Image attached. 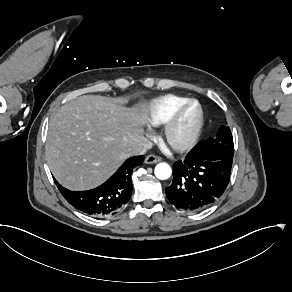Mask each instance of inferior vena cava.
Here are the masks:
<instances>
[{"mask_svg": "<svg viewBox=\"0 0 292 292\" xmlns=\"http://www.w3.org/2000/svg\"><path fill=\"white\" fill-rule=\"evenodd\" d=\"M151 148H152V142H150L148 139H145V142L143 143V145L133 150L130 156L143 155L146 153L148 149H151Z\"/></svg>", "mask_w": 292, "mask_h": 292, "instance_id": "obj_1", "label": "inferior vena cava"}]
</instances>
